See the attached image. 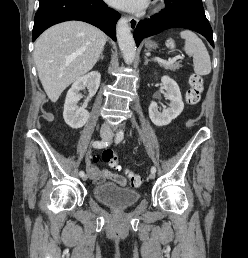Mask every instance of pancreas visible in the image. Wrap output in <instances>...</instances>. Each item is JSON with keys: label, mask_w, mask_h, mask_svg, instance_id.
Segmentation results:
<instances>
[{"label": "pancreas", "mask_w": 248, "mask_h": 258, "mask_svg": "<svg viewBox=\"0 0 248 258\" xmlns=\"http://www.w3.org/2000/svg\"><path fill=\"white\" fill-rule=\"evenodd\" d=\"M160 66L164 67L166 70L176 71L182 67V65L179 62H173V63H163L158 62Z\"/></svg>", "instance_id": "1"}]
</instances>
